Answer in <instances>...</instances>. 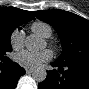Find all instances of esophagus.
<instances>
[{
	"mask_svg": "<svg viewBox=\"0 0 89 89\" xmlns=\"http://www.w3.org/2000/svg\"><path fill=\"white\" fill-rule=\"evenodd\" d=\"M33 72V69H31V68H26V73H32Z\"/></svg>",
	"mask_w": 89,
	"mask_h": 89,
	"instance_id": "esophagus-1",
	"label": "esophagus"
}]
</instances>
